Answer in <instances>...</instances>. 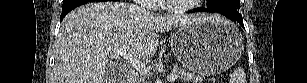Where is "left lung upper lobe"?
I'll return each instance as SVG.
<instances>
[{"label":"left lung upper lobe","instance_id":"1","mask_svg":"<svg viewBox=\"0 0 307 83\" xmlns=\"http://www.w3.org/2000/svg\"><path fill=\"white\" fill-rule=\"evenodd\" d=\"M207 5L217 10L230 8L233 12L240 14V0H207Z\"/></svg>","mask_w":307,"mask_h":83}]
</instances>
